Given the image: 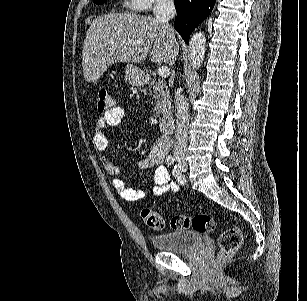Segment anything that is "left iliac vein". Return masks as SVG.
Segmentation results:
<instances>
[{"label": "left iliac vein", "mask_w": 307, "mask_h": 301, "mask_svg": "<svg viewBox=\"0 0 307 301\" xmlns=\"http://www.w3.org/2000/svg\"><path fill=\"white\" fill-rule=\"evenodd\" d=\"M181 170L185 172V171L187 170V165H186V164H183Z\"/></svg>", "instance_id": "1"}]
</instances>
